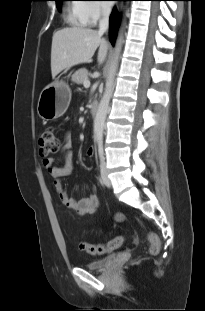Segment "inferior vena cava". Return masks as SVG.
Masks as SVG:
<instances>
[{
  "instance_id": "obj_1",
  "label": "inferior vena cava",
  "mask_w": 205,
  "mask_h": 311,
  "mask_svg": "<svg viewBox=\"0 0 205 311\" xmlns=\"http://www.w3.org/2000/svg\"><path fill=\"white\" fill-rule=\"evenodd\" d=\"M110 9H102V18L99 21V33L103 34L109 26Z\"/></svg>"
}]
</instances>
